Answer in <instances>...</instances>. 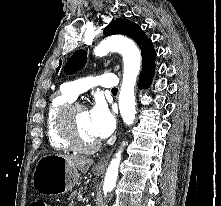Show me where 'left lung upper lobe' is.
<instances>
[{
	"label": "left lung upper lobe",
	"instance_id": "1",
	"mask_svg": "<svg viewBox=\"0 0 221 206\" xmlns=\"http://www.w3.org/2000/svg\"><path fill=\"white\" fill-rule=\"evenodd\" d=\"M104 34H123L132 38L141 49L142 72L140 77L154 72L156 59L154 47L152 42L147 38V36L137 24L129 20L119 18L113 20L108 26L105 27ZM85 62L86 52L84 50L76 51L65 65L64 72L66 74H73L77 72V70H80L84 66ZM60 66L56 69V72L59 71Z\"/></svg>",
	"mask_w": 221,
	"mask_h": 206
}]
</instances>
